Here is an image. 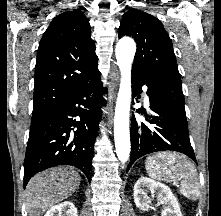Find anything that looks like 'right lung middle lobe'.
Segmentation results:
<instances>
[{
  "label": "right lung middle lobe",
  "instance_id": "right-lung-middle-lobe-1",
  "mask_svg": "<svg viewBox=\"0 0 221 216\" xmlns=\"http://www.w3.org/2000/svg\"><path fill=\"white\" fill-rule=\"evenodd\" d=\"M37 120H38V115H33L31 120V126H33Z\"/></svg>",
  "mask_w": 221,
  "mask_h": 216
}]
</instances>
